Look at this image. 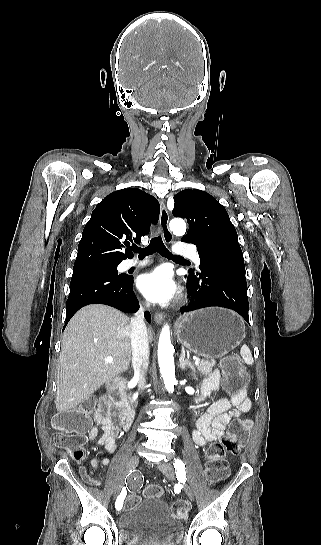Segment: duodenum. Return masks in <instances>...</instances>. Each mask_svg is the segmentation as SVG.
I'll return each instance as SVG.
<instances>
[{
	"mask_svg": "<svg viewBox=\"0 0 321 545\" xmlns=\"http://www.w3.org/2000/svg\"><path fill=\"white\" fill-rule=\"evenodd\" d=\"M109 397L112 403L121 411L122 427L129 429L135 416V410L129 403L126 394L119 385L115 384L110 387Z\"/></svg>",
	"mask_w": 321,
	"mask_h": 545,
	"instance_id": "obj_1",
	"label": "duodenum"
}]
</instances>
